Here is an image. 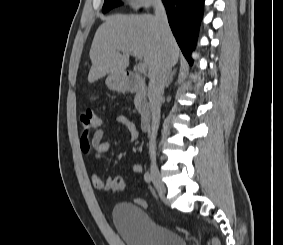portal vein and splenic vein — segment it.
I'll list each match as a JSON object with an SVG mask.
<instances>
[{
    "label": "portal vein and splenic vein",
    "instance_id": "obj_1",
    "mask_svg": "<svg viewBox=\"0 0 283 245\" xmlns=\"http://www.w3.org/2000/svg\"><path fill=\"white\" fill-rule=\"evenodd\" d=\"M128 53L134 55L136 58L140 59V55L136 52L129 51ZM138 72L145 73L147 71V65L144 62H139L137 65Z\"/></svg>",
    "mask_w": 283,
    "mask_h": 245
}]
</instances>
